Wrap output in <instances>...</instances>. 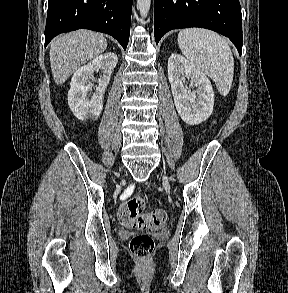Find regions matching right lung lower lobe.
<instances>
[{
	"label": "right lung lower lobe",
	"instance_id": "obj_1",
	"mask_svg": "<svg viewBox=\"0 0 288 293\" xmlns=\"http://www.w3.org/2000/svg\"><path fill=\"white\" fill-rule=\"evenodd\" d=\"M133 0H49L45 46L58 34L90 29L113 36L127 48Z\"/></svg>",
	"mask_w": 288,
	"mask_h": 293
}]
</instances>
